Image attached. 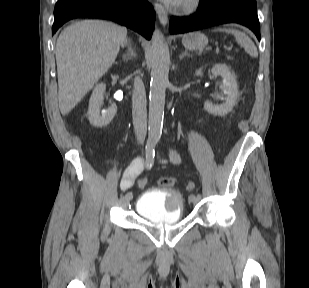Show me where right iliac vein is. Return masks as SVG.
<instances>
[{"mask_svg":"<svg viewBox=\"0 0 309 288\" xmlns=\"http://www.w3.org/2000/svg\"><path fill=\"white\" fill-rule=\"evenodd\" d=\"M131 198H132V195L127 196V194H126L124 197H122L120 199V203L125 207V206H127L129 204Z\"/></svg>","mask_w":309,"mask_h":288,"instance_id":"1","label":"right iliac vein"}]
</instances>
